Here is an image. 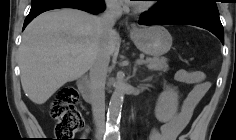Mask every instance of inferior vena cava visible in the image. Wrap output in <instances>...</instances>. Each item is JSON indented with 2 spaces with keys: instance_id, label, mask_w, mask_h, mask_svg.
<instances>
[{
  "instance_id": "1",
  "label": "inferior vena cava",
  "mask_w": 236,
  "mask_h": 140,
  "mask_svg": "<svg viewBox=\"0 0 236 140\" xmlns=\"http://www.w3.org/2000/svg\"><path fill=\"white\" fill-rule=\"evenodd\" d=\"M121 15L120 3L117 0H107L106 10L99 18L102 30V47L95 56L90 69L93 119L97 132L101 135L105 131V82L110 62L108 42L114 33L113 26Z\"/></svg>"
}]
</instances>
